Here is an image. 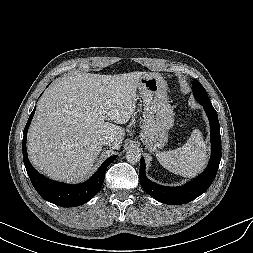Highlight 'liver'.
<instances>
[{
  "instance_id": "6515ba94",
  "label": "liver",
  "mask_w": 253,
  "mask_h": 253,
  "mask_svg": "<svg viewBox=\"0 0 253 253\" xmlns=\"http://www.w3.org/2000/svg\"><path fill=\"white\" fill-rule=\"evenodd\" d=\"M153 73L117 75L78 73L51 85L38 101L27 136L33 166L53 179L78 182L91 170L102 139L119 149L136 108L142 77ZM114 122V123H111Z\"/></svg>"
}]
</instances>
